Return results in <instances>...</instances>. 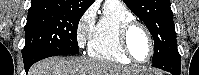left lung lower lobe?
<instances>
[{
    "label": "left lung lower lobe",
    "mask_w": 199,
    "mask_h": 75,
    "mask_svg": "<svg viewBox=\"0 0 199 75\" xmlns=\"http://www.w3.org/2000/svg\"><path fill=\"white\" fill-rule=\"evenodd\" d=\"M152 66L168 71L173 75H180L181 57L179 53L174 54L162 62L152 64Z\"/></svg>",
    "instance_id": "0a47b994"
}]
</instances>
